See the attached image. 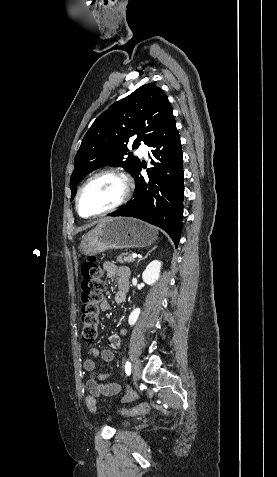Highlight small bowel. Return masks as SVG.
I'll return each mask as SVG.
<instances>
[{"label":"small bowel","instance_id":"obj_1","mask_svg":"<svg viewBox=\"0 0 277 477\" xmlns=\"http://www.w3.org/2000/svg\"><path fill=\"white\" fill-rule=\"evenodd\" d=\"M103 268L108 276L116 277L118 290L115 294V301L117 303L124 302L129 289L130 270L125 266H119L113 262H105ZM101 307L102 310L106 311L110 308V305L108 301L104 299ZM125 333V329H120L119 333L111 334L108 337L109 348L101 351L91 348L87 353L94 358H101L105 362H112L114 360L113 350L120 347L121 335H124ZM83 367L88 374L86 387L92 396H113L121 390V386L118 383L107 381L109 378L107 372L98 373L96 371V363L93 359H86L83 363Z\"/></svg>","mask_w":277,"mask_h":477}]
</instances>
